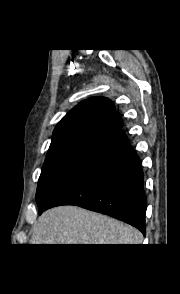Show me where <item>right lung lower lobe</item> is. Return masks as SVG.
Masks as SVG:
<instances>
[{
	"mask_svg": "<svg viewBox=\"0 0 180 294\" xmlns=\"http://www.w3.org/2000/svg\"><path fill=\"white\" fill-rule=\"evenodd\" d=\"M60 205H77L110 215L145 235L143 172L122 129L99 144L39 213Z\"/></svg>",
	"mask_w": 180,
	"mask_h": 294,
	"instance_id": "right-lung-lower-lobe-1",
	"label": "right lung lower lobe"
}]
</instances>
